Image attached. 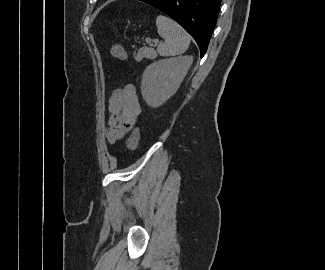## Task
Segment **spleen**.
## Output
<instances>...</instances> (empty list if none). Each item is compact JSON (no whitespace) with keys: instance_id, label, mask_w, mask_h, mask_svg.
I'll use <instances>...</instances> for the list:
<instances>
[{"instance_id":"1","label":"spleen","mask_w":325,"mask_h":270,"mask_svg":"<svg viewBox=\"0 0 325 270\" xmlns=\"http://www.w3.org/2000/svg\"><path fill=\"white\" fill-rule=\"evenodd\" d=\"M158 34L164 39L157 47L160 56H175L183 54L189 47L190 36L174 20L159 15L156 18Z\"/></svg>"}]
</instances>
